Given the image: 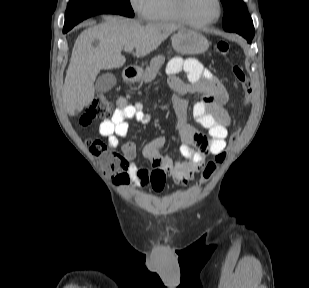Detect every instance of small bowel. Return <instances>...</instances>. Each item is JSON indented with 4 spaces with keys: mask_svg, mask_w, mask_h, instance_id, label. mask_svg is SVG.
<instances>
[{
    "mask_svg": "<svg viewBox=\"0 0 309 288\" xmlns=\"http://www.w3.org/2000/svg\"><path fill=\"white\" fill-rule=\"evenodd\" d=\"M169 83L177 91L174 99L176 129L181 140L180 154L185 161L176 162L169 156H163L159 150L165 143L162 136L150 140L143 148V155L153 164V170L140 169L136 163V146L133 142L122 145V153L127 162V171L136 188L151 187L161 192L168 176H172L179 185H185L203 170L207 154H217L226 147V137L231 124L225 108L227 93L220 82L199 61L190 58H173L167 67ZM184 71L188 82L181 81L176 74ZM198 95L193 105L196 122L209 132V138L187 123L188 98ZM148 123L151 115L145 113L139 103L129 104L126 97L117 99V108L112 117L99 126V134L107 139L108 146L115 149L119 138L129 133L128 120Z\"/></svg>",
    "mask_w": 309,
    "mask_h": 288,
    "instance_id": "1",
    "label": "small bowel"
}]
</instances>
